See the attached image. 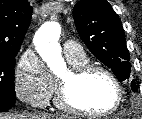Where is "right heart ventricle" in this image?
<instances>
[{"label": "right heart ventricle", "instance_id": "1", "mask_svg": "<svg viewBox=\"0 0 142 119\" xmlns=\"http://www.w3.org/2000/svg\"><path fill=\"white\" fill-rule=\"evenodd\" d=\"M71 66H78L88 63V59L84 53L77 56H66ZM54 90H56V84L54 83Z\"/></svg>", "mask_w": 142, "mask_h": 119}]
</instances>
